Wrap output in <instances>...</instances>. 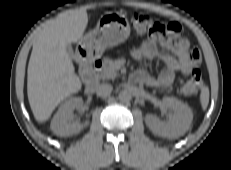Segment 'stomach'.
<instances>
[{"label":"stomach","mask_w":231,"mask_h":170,"mask_svg":"<svg viewBox=\"0 0 231 170\" xmlns=\"http://www.w3.org/2000/svg\"><path fill=\"white\" fill-rule=\"evenodd\" d=\"M129 34L127 18L119 13L107 12L100 17L96 28L85 34L81 45L98 56L107 48L124 42Z\"/></svg>","instance_id":"0dacf381"}]
</instances>
